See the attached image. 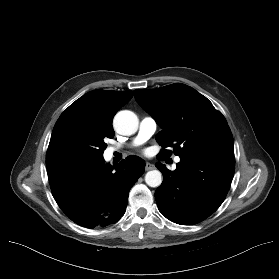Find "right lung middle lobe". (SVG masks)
Masks as SVG:
<instances>
[{
    "label": "right lung middle lobe",
    "instance_id": "right-lung-middle-lobe-1",
    "mask_svg": "<svg viewBox=\"0 0 279 279\" xmlns=\"http://www.w3.org/2000/svg\"><path fill=\"white\" fill-rule=\"evenodd\" d=\"M106 137L113 135H106L78 119L55 124L46 154L47 169L102 158Z\"/></svg>",
    "mask_w": 279,
    "mask_h": 279
}]
</instances>
